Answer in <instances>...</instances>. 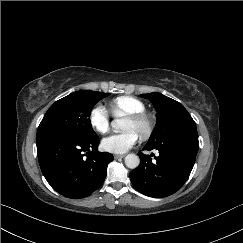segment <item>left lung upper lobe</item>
<instances>
[{"instance_id": "1", "label": "left lung upper lobe", "mask_w": 243, "mask_h": 243, "mask_svg": "<svg viewBox=\"0 0 243 243\" xmlns=\"http://www.w3.org/2000/svg\"><path fill=\"white\" fill-rule=\"evenodd\" d=\"M149 99L156 107L157 122L148 143H155L183 130L196 127V123L179 102L161 94L149 93L141 95Z\"/></svg>"}]
</instances>
